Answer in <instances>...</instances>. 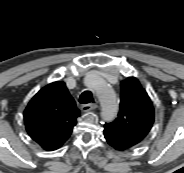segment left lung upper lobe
<instances>
[{
  "label": "left lung upper lobe",
  "instance_id": "obj_1",
  "mask_svg": "<svg viewBox=\"0 0 184 173\" xmlns=\"http://www.w3.org/2000/svg\"><path fill=\"white\" fill-rule=\"evenodd\" d=\"M153 122L152 102L139 81L134 77L122 81L118 117L105 124L104 132L110 133L131 148L147 136Z\"/></svg>",
  "mask_w": 184,
  "mask_h": 173
}]
</instances>
